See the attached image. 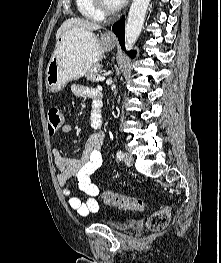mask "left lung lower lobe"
I'll return each mask as SVG.
<instances>
[{
    "instance_id": "obj_1",
    "label": "left lung lower lobe",
    "mask_w": 221,
    "mask_h": 263,
    "mask_svg": "<svg viewBox=\"0 0 221 263\" xmlns=\"http://www.w3.org/2000/svg\"><path fill=\"white\" fill-rule=\"evenodd\" d=\"M112 31L116 34L121 47L125 50V18L124 17L112 26ZM127 54L131 58H134L136 55L134 51L127 52Z\"/></svg>"
}]
</instances>
